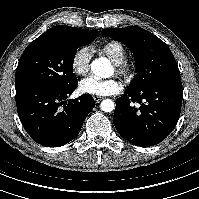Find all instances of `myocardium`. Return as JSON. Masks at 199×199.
<instances>
[{
	"label": "myocardium",
	"instance_id": "obj_1",
	"mask_svg": "<svg viewBox=\"0 0 199 199\" xmlns=\"http://www.w3.org/2000/svg\"><path fill=\"white\" fill-rule=\"evenodd\" d=\"M116 71L124 77H130L132 74V67L126 62H122L121 64L116 65Z\"/></svg>",
	"mask_w": 199,
	"mask_h": 199
}]
</instances>
